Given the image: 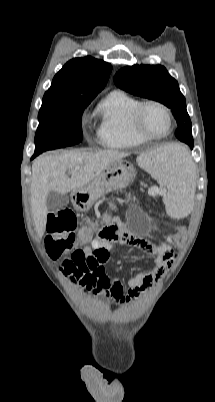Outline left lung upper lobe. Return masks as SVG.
I'll list each match as a JSON object with an SVG mask.
<instances>
[{
	"mask_svg": "<svg viewBox=\"0 0 215 402\" xmlns=\"http://www.w3.org/2000/svg\"><path fill=\"white\" fill-rule=\"evenodd\" d=\"M115 85L131 94L158 101L171 108L178 128L176 137L188 144L194 142L185 97L178 82L161 65H133L120 69L113 78Z\"/></svg>",
	"mask_w": 215,
	"mask_h": 402,
	"instance_id": "obj_1",
	"label": "left lung upper lobe"
}]
</instances>
